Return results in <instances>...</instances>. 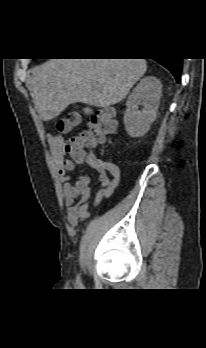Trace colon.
Listing matches in <instances>:
<instances>
[{"label":"colon","mask_w":206,"mask_h":348,"mask_svg":"<svg viewBox=\"0 0 206 348\" xmlns=\"http://www.w3.org/2000/svg\"><path fill=\"white\" fill-rule=\"evenodd\" d=\"M80 119L81 115L78 113L59 119L56 124L55 137H60L61 134L70 131L80 122ZM114 129L113 111L110 108H104L92 115L86 129L70 137L63 144V150L73 159H82L92 146L105 142Z\"/></svg>","instance_id":"1"}]
</instances>
